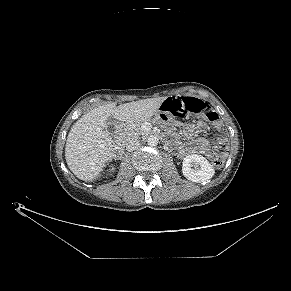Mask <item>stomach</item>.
<instances>
[{
  "instance_id": "stomach-1",
  "label": "stomach",
  "mask_w": 291,
  "mask_h": 291,
  "mask_svg": "<svg viewBox=\"0 0 291 291\" xmlns=\"http://www.w3.org/2000/svg\"><path fill=\"white\" fill-rule=\"evenodd\" d=\"M170 119V115H168L165 112L162 111H158L156 112L154 115H152L149 120L154 122V123H158V124H163L166 121H168Z\"/></svg>"
}]
</instances>
